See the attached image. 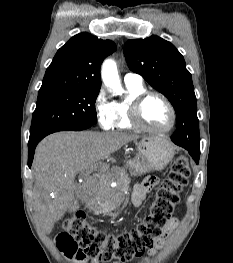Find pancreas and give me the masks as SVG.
Returning a JSON list of instances; mask_svg holds the SVG:
<instances>
[{
    "label": "pancreas",
    "mask_w": 233,
    "mask_h": 263,
    "mask_svg": "<svg viewBox=\"0 0 233 263\" xmlns=\"http://www.w3.org/2000/svg\"><path fill=\"white\" fill-rule=\"evenodd\" d=\"M117 182L115 188L99 186L96 192L98 204L93 208L94 214H107L119 206L125 199V191L128 190L130 178L124 171L118 170L114 179Z\"/></svg>",
    "instance_id": "obj_1"
}]
</instances>
